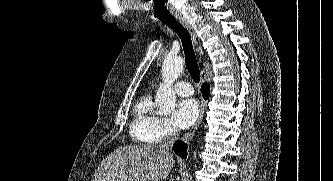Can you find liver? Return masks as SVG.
<instances>
[{"instance_id":"1","label":"liver","mask_w":333,"mask_h":181,"mask_svg":"<svg viewBox=\"0 0 333 181\" xmlns=\"http://www.w3.org/2000/svg\"><path fill=\"white\" fill-rule=\"evenodd\" d=\"M175 160L162 145H129L117 148L97 167L91 181H160Z\"/></svg>"}]
</instances>
